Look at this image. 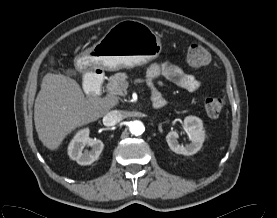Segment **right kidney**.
Instances as JSON below:
<instances>
[{"label":"right kidney","instance_id":"right-kidney-1","mask_svg":"<svg viewBox=\"0 0 277 218\" xmlns=\"http://www.w3.org/2000/svg\"><path fill=\"white\" fill-rule=\"evenodd\" d=\"M89 128L79 130L68 146V155L79 165H90L96 161L101 154L104 144L99 139L89 137ZM92 147L90 151L84 150V147Z\"/></svg>","mask_w":277,"mask_h":218}]
</instances>
